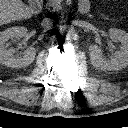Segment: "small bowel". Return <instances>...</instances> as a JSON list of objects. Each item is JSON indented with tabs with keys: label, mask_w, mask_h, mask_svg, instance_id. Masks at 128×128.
Returning <instances> with one entry per match:
<instances>
[{
	"label": "small bowel",
	"mask_w": 128,
	"mask_h": 128,
	"mask_svg": "<svg viewBox=\"0 0 128 128\" xmlns=\"http://www.w3.org/2000/svg\"><path fill=\"white\" fill-rule=\"evenodd\" d=\"M80 5L88 6L89 7V0H80Z\"/></svg>",
	"instance_id": "small-bowel-1"
}]
</instances>
